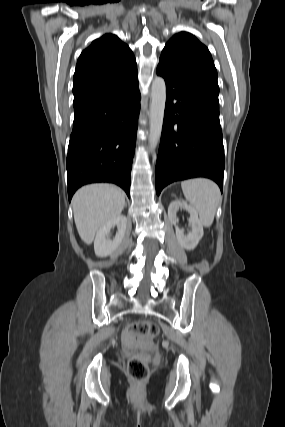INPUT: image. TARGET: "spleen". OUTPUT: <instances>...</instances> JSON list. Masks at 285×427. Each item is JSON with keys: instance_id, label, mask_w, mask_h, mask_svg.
Wrapping results in <instances>:
<instances>
[{"instance_id": "spleen-1", "label": "spleen", "mask_w": 285, "mask_h": 427, "mask_svg": "<svg viewBox=\"0 0 285 427\" xmlns=\"http://www.w3.org/2000/svg\"><path fill=\"white\" fill-rule=\"evenodd\" d=\"M181 188L186 200L199 215L202 225L210 227L220 200L219 187L211 180L195 178L183 181Z\"/></svg>"}]
</instances>
